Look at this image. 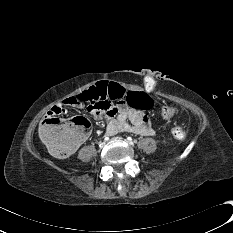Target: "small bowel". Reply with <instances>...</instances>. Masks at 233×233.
<instances>
[{
  "mask_svg": "<svg viewBox=\"0 0 233 233\" xmlns=\"http://www.w3.org/2000/svg\"><path fill=\"white\" fill-rule=\"evenodd\" d=\"M104 82V81H103ZM124 100L117 103L109 98L91 103L86 106L88 113H93L98 120H106V131L109 134L129 132L140 136H153L155 131L146 115L142 112L125 106ZM66 108H84V104L77 103L74 97L65 99L60 106L53 107L47 116L57 115L66 111Z\"/></svg>",
  "mask_w": 233,
  "mask_h": 233,
  "instance_id": "1",
  "label": "small bowel"
}]
</instances>
